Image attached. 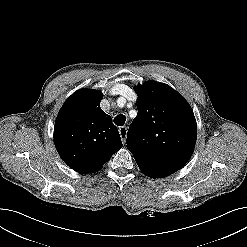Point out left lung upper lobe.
<instances>
[{
  "instance_id": "5c2ea615",
  "label": "left lung upper lobe",
  "mask_w": 247,
  "mask_h": 247,
  "mask_svg": "<svg viewBox=\"0 0 247 247\" xmlns=\"http://www.w3.org/2000/svg\"><path fill=\"white\" fill-rule=\"evenodd\" d=\"M138 115L127 133V148L136 161L179 170L191 157L197 136L187 101L164 83L135 86Z\"/></svg>"
}]
</instances>
